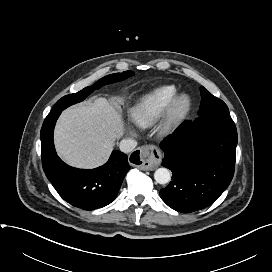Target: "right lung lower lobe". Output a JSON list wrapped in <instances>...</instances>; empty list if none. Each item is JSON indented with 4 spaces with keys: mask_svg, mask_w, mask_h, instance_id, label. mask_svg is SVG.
Instances as JSON below:
<instances>
[{
    "mask_svg": "<svg viewBox=\"0 0 272 272\" xmlns=\"http://www.w3.org/2000/svg\"><path fill=\"white\" fill-rule=\"evenodd\" d=\"M62 110L50 112L41 129L43 170L59 195L69 204L93 210L110 204L117 196L130 169L126 154L114 150L106 164L95 169H78L65 164L53 143V130Z\"/></svg>",
    "mask_w": 272,
    "mask_h": 272,
    "instance_id": "right-lung-lower-lobe-1",
    "label": "right lung lower lobe"
}]
</instances>
